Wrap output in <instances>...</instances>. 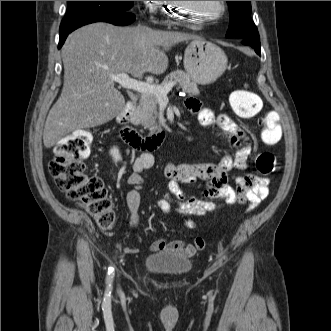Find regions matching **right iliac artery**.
<instances>
[{"mask_svg": "<svg viewBox=\"0 0 331 331\" xmlns=\"http://www.w3.org/2000/svg\"><path fill=\"white\" fill-rule=\"evenodd\" d=\"M113 278V267L108 268V276H107V281L111 282Z\"/></svg>", "mask_w": 331, "mask_h": 331, "instance_id": "1", "label": "right iliac artery"}]
</instances>
